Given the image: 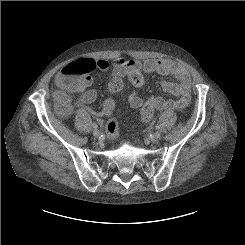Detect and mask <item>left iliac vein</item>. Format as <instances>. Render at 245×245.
I'll list each match as a JSON object with an SVG mask.
<instances>
[{"mask_svg":"<svg viewBox=\"0 0 245 245\" xmlns=\"http://www.w3.org/2000/svg\"><path fill=\"white\" fill-rule=\"evenodd\" d=\"M160 137H161V132H160V131H156V132L154 133V135H153V138H154L155 140H158Z\"/></svg>","mask_w":245,"mask_h":245,"instance_id":"4c4485c4","label":"left iliac vein"}]
</instances>
